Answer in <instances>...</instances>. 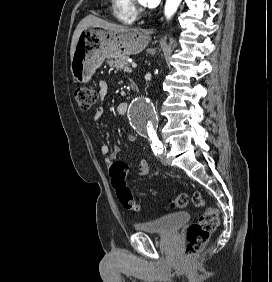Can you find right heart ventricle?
<instances>
[{
    "mask_svg": "<svg viewBox=\"0 0 272 282\" xmlns=\"http://www.w3.org/2000/svg\"><path fill=\"white\" fill-rule=\"evenodd\" d=\"M115 17L123 23L131 24L136 19L129 8V0H111Z\"/></svg>",
    "mask_w": 272,
    "mask_h": 282,
    "instance_id": "1",
    "label": "right heart ventricle"
}]
</instances>
